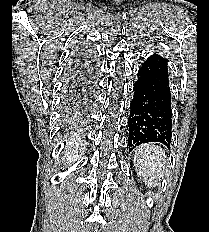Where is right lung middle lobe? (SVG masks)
I'll return each instance as SVG.
<instances>
[{"instance_id": "1", "label": "right lung middle lobe", "mask_w": 209, "mask_h": 232, "mask_svg": "<svg viewBox=\"0 0 209 232\" xmlns=\"http://www.w3.org/2000/svg\"><path fill=\"white\" fill-rule=\"evenodd\" d=\"M80 71V68L78 69ZM86 72V69L85 71ZM78 72L70 75V83L67 85L65 93L63 94V114L66 119V125L75 126L78 125L82 119V114L80 112L81 100L79 93L81 92L80 87H73L74 81L77 79Z\"/></svg>"}]
</instances>
